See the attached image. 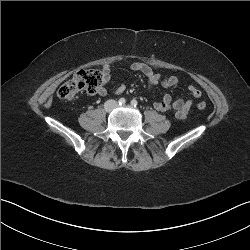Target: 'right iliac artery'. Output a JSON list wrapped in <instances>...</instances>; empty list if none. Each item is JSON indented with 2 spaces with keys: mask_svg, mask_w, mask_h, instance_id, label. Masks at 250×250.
Here are the masks:
<instances>
[{
  "mask_svg": "<svg viewBox=\"0 0 250 250\" xmlns=\"http://www.w3.org/2000/svg\"><path fill=\"white\" fill-rule=\"evenodd\" d=\"M118 103H119V105H125L126 100L124 98H120Z\"/></svg>",
  "mask_w": 250,
  "mask_h": 250,
  "instance_id": "obj_1",
  "label": "right iliac artery"
}]
</instances>
